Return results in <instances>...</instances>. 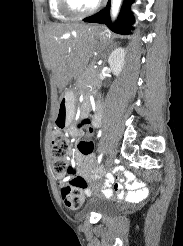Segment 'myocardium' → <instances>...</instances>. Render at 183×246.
<instances>
[{
  "label": "myocardium",
  "instance_id": "f54148a6",
  "mask_svg": "<svg viewBox=\"0 0 183 246\" xmlns=\"http://www.w3.org/2000/svg\"><path fill=\"white\" fill-rule=\"evenodd\" d=\"M59 1V6L60 9L63 13H65L66 15H68L69 17H73V18H83L86 16H89L91 14H93L94 12H96L99 7L101 6V1L102 0H97L93 6H91L89 9L86 10H77L73 4L71 0H58Z\"/></svg>",
  "mask_w": 183,
  "mask_h": 246
}]
</instances>
